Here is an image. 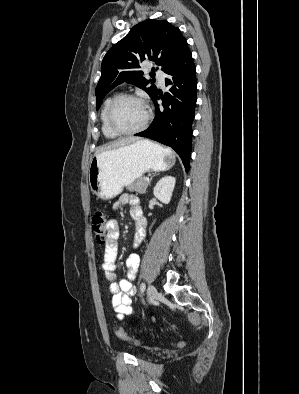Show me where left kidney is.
<instances>
[{"instance_id":"1","label":"left kidney","mask_w":299,"mask_h":394,"mask_svg":"<svg viewBox=\"0 0 299 394\" xmlns=\"http://www.w3.org/2000/svg\"><path fill=\"white\" fill-rule=\"evenodd\" d=\"M176 179L172 176H165L160 179L154 187L153 194L164 204L171 201Z\"/></svg>"}]
</instances>
